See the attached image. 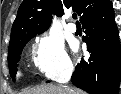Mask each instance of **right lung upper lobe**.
<instances>
[{"mask_svg": "<svg viewBox=\"0 0 121 94\" xmlns=\"http://www.w3.org/2000/svg\"><path fill=\"white\" fill-rule=\"evenodd\" d=\"M109 0H24L13 23L10 42L28 30H47L52 14L63 15V9L74 7L80 20L102 8Z\"/></svg>", "mask_w": 121, "mask_h": 94, "instance_id": "obj_1", "label": "right lung upper lobe"}]
</instances>
